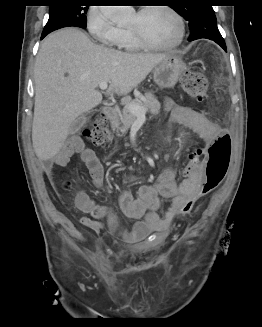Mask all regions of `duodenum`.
<instances>
[{"label":"duodenum","instance_id":"obj_1","mask_svg":"<svg viewBox=\"0 0 262 327\" xmlns=\"http://www.w3.org/2000/svg\"><path fill=\"white\" fill-rule=\"evenodd\" d=\"M117 112V108L113 105H106L103 107V113L109 118L115 117Z\"/></svg>","mask_w":262,"mask_h":327}]
</instances>
